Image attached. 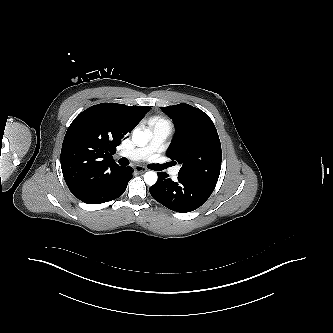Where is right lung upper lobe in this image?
Here are the masks:
<instances>
[{"label":"right lung upper lobe","instance_id":"1","mask_svg":"<svg viewBox=\"0 0 333 333\" xmlns=\"http://www.w3.org/2000/svg\"><path fill=\"white\" fill-rule=\"evenodd\" d=\"M149 110L147 106L101 103L73 120L64 137L61 168L74 196L120 167L111 155Z\"/></svg>","mask_w":333,"mask_h":333}]
</instances>
